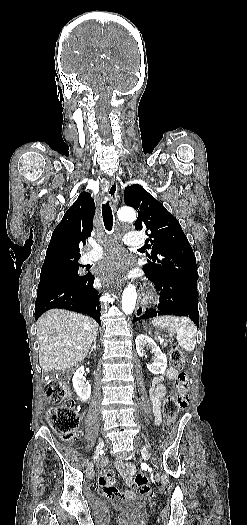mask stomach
<instances>
[{
    "label": "stomach",
    "mask_w": 247,
    "mask_h": 525,
    "mask_svg": "<svg viewBox=\"0 0 247 525\" xmlns=\"http://www.w3.org/2000/svg\"><path fill=\"white\" fill-rule=\"evenodd\" d=\"M143 327L145 330L153 333L155 336H173L175 333L169 326H162L154 323L143 324Z\"/></svg>",
    "instance_id": "1"
}]
</instances>
